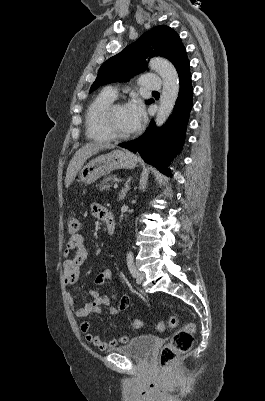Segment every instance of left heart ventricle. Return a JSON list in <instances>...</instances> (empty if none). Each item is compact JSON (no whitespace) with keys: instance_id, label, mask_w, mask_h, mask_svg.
Returning <instances> with one entry per match:
<instances>
[{"instance_id":"obj_1","label":"left heart ventricle","mask_w":265,"mask_h":401,"mask_svg":"<svg viewBox=\"0 0 265 401\" xmlns=\"http://www.w3.org/2000/svg\"><path fill=\"white\" fill-rule=\"evenodd\" d=\"M112 125L117 134L127 135L134 129L126 116L125 106H119L112 117Z\"/></svg>"}]
</instances>
